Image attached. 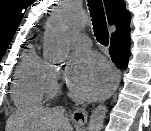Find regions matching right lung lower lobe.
Instances as JSON below:
<instances>
[{"mask_svg":"<svg viewBox=\"0 0 151 131\" xmlns=\"http://www.w3.org/2000/svg\"><path fill=\"white\" fill-rule=\"evenodd\" d=\"M110 56L113 62H115L118 68H126L128 65L130 52V40H120L118 42L111 43Z\"/></svg>","mask_w":151,"mask_h":131,"instance_id":"right-lung-lower-lobe-1","label":"right lung lower lobe"}]
</instances>
